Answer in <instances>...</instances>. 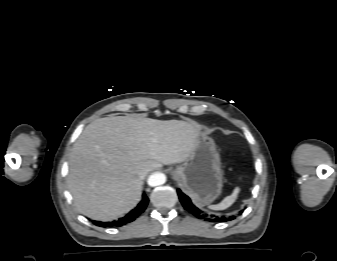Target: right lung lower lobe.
<instances>
[{"mask_svg": "<svg viewBox=\"0 0 337 261\" xmlns=\"http://www.w3.org/2000/svg\"><path fill=\"white\" fill-rule=\"evenodd\" d=\"M148 201H149L148 197L145 194H143L141 202L133 210H131L127 215L120 218L119 220L112 221V222H98V221H94V222L96 223L97 226H104V227H107V226L120 227V226L126 225L134 221L145 210L148 204Z\"/></svg>", "mask_w": 337, "mask_h": 261, "instance_id": "right-lung-lower-lobe-1", "label": "right lung lower lobe"}]
</instances>
